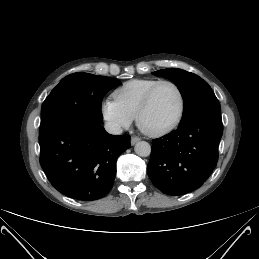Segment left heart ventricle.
<instances>
[{"label":"left heart ventricle","mask_w":259,"mask_h":259,"mask_svg":"<svg viewBox=\"0 0 259 259\" xmlns=\"http://www.w3.org/2000/svg\"><path fill=\"white\" fill-rule=\"evenodd\" d=\"M179 106V96L176 90L171 85H161L156 90L151 105L143 116V126L152 131L168 126L177 117Z\"/></svg>","instance_id":"left-heart-ventricle-1"}]
</instances>
